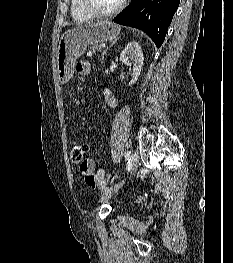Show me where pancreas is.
Returning a JSON list of instances; mask_svg holds the SVG:
<instances>
[{
	"label": "pancreas",
	"instance_id": "cf45deb5",
	"mask_svg": "<svg viewBox=\"0 0 233 263\" xmlns=\"http://www.w3.org/2000/svg\"><path fill=\"white\" fill-rule=\"evenodd\" d=\"M99 49H100V46H98V45L92 46V47L90 48V50L93 51V52H95V51H97V50H99Z\"/></svg>",
	"mask_w": 233,
	"mask_h": 263
}]
</instances>
